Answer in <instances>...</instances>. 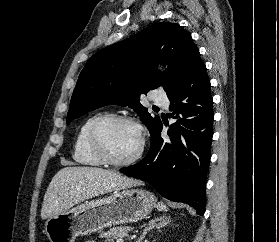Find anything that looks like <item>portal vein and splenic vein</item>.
Segmentation results:
<instances>
[{
    "instance_id": "18ae733b",
    "label": "portal vein and splenic vein",
    "mask_w": 279,
    "mask_h": 242,
    "mask_svg": "<svg viewBox=\"0 0 279 242\" xmlns=\"http://www.w3.org/2000/svg\"><path fill=\"white\" fill-rule=\"evenodd\" d=\"M117 242H123V240L122 239H118Z\"/></svg>"
}]
</instances>
